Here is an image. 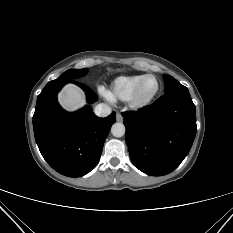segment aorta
I'll return each instance as SVG.
<instances>
[{"label": "aorta", "instance_id": "obj_1", "mask_svg": "<svg viewBox=\"0 0 233 233\" xmlns=\"http://www.w3.org/2000/svg\"><path fill=\"white\" fill-rule=\"evenodd\" d=\"M111 133L114 137H122L125 134V126L123 123H115L111 127Z\"/></svg>", "mask_w": 233, "mask_h": 233}]
</instances>
